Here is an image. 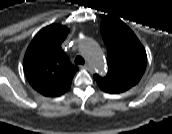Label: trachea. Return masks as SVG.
Masks as SVG:
<instances>
[{"instance_id": "3493384b", "label": "trachea", "mask_w": 172, "mask_h": 134, "mask_svg": "<svg viewBox=\"0 0 172 134\" xmlns=\"http://www.w3.org/2000/svg\"><path fill=\"white\" fill-rule=\"evenodd\" d=\"M75 63L76 64H82L83 65L85 63V61H84V59L81 56H77L75 58Z\"/></svg>"}]
</instances>
